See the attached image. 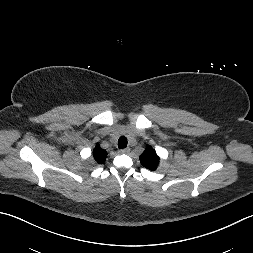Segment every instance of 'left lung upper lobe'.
<instances>
[{
  "label": "left lung upper lobe",
  "mask_w": 253,
  "mask_h": 253,
  "mask_svg": "<svg viewBox=\"0 0 253 253\" xmlns=\"http://www.w3.org/2000/svg\"><path fill=\"white\" fill-rule=\"evenodd\" d=\"M141 164L150 169L155 170L159 163V157L152 147H147L145 151L140 155Z\"/></svg>",
  "instance_id": "1"
}]
</instances>
